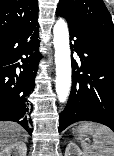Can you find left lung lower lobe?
I'll list each match as a JSON object with an SVG mask.
<instances>
[{
	"instance_id": "0a47b994",
	"label": "left lung lower lobe",
	"mask_w": 114,
	"mask_h": 156,
	"mask_svg": "<svg viewBox=\"0 0 114 156\" xmlns=\"http://www.w3.org/2000/svg\"><path fill=\"white\" fill-rule=\"evenodd\" d=\"M56 15H64L56 11ZM68 22V21H67ZM73 51L80 57L72 61V89L66 107L59 116V131L77 121L104 124L114 131V45L70 22Z\"/></svg>"
}]
</instances>
